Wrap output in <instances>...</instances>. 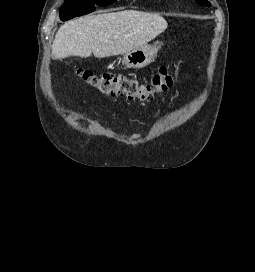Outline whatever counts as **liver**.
Here are the masks:
<instances>
[{
    "label": "liver",
    "instance_id": "liver-1",
    "mask_svg": "<svg viewBox=\"0 0 255 272\" xmlns=\"http://www.w3.org/2000/svg\"><path fill=\"white\" fill-rule=\"evenodd\" d=\"M167 28L159 14L136 10L88 15L63 24L52 45L56 59L125 54L146 45Z\"/></svg>",
    "mask_w": 255,
    "mask_h": 272
}]
</instances>
